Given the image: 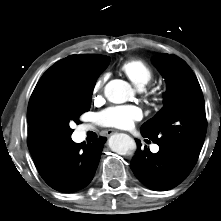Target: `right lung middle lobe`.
I'll list each match as a JSON object with an SVG mask.
<instances>
[{"label":"right lung middle lobe","mask_w":221,"mask_h":221,"mask_svg":"<svg viewBox=\"0 0 221 221\" xmlns=\"http://www.w3.org/2000/svg\"><path fill=\"white\" fill-rule=\"evenodd\" d=\"M110 62L81 71L72 81L59 103L48 102L37 112L30 128L35 148L47 151L71 141L73 130L69 123H79V116L91 106V96L96 80Z\"/></svg>","instance_id":"right-lung-middle-lobe-1"}]
</instances>
